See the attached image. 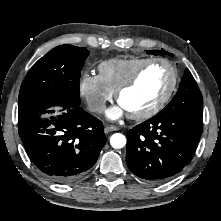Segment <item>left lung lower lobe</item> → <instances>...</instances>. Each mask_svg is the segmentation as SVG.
I'll return each instance as SVG.
<instances>
[{
  "instance_id": "0a47b994",
  "label": "left lung lower lobe",
  "mask_w": 221,
  "mask_h": 221,
  "mask_svg": "<svg viewBox=\"0 0 221 221\" xmlns=\"http://www.w3.org/2000/svg\"><path fill=\"white\" fill-rule=\"evenodd\" d=\"M202 130V122L163 109L127 131L129 170L153 183L171 179L191 161Z\"/></svg>"
}]
</instances>
